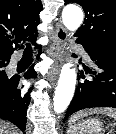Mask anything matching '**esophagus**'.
<instances>
[{"label": "esophagus", "mask_w": 116, "mask_h": 134, "mask_svg": "<svg viewBox=\"0 0 116 134\" xmlns=\"http://www.w3.org/2000/svg\"><path fill=\"white\" fill-rule=\"evenodd\" d=\"M67 31L62 25H57L53 43L50 45L49 52L53 59V65L49 72L50 76H56L65 57V46Z\"/></svg>", "instance_id": "esophagus-1"}]
</instances>
